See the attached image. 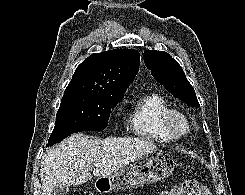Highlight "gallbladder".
I'll return each mask as SVG.
<instances>
[{
	"label": "gallbladder",
	"mask_w": 245,
	"mask_h": 195,
	"mask_svg": "<svg viewBox=\"0 0 245 195\" xmlns=\"http://www.w3.org/2000/svg\"><path fill=\"white\" fill-rule=\"evenodd\" d=\"M69 191V185L59 184L53 190V195H66Z\"/></svg>",
	"instance_id": "bac80fb5"
}]
</instances>
